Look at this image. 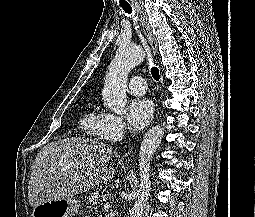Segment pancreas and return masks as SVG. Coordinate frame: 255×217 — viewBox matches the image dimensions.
I'll use <instances>...</instances> for the list:
<instances>
[{
	"label": "pancreas",
	"instance_id": "cf45deb5",
	"mask_svg": "<svg viewBox=\"0 0 255 217\" xmlns=\"http://www.w3.org/2000/svg\"><path fill=\"white\" fill-rule=\"evenodd\" d=\"M100 194L98 191L92 192L87 198H86V205L88 208H96L97 204H100Z\"/></svg>",
	"mask_w": 255,
	"mask_h": 217
}]
</instances>
